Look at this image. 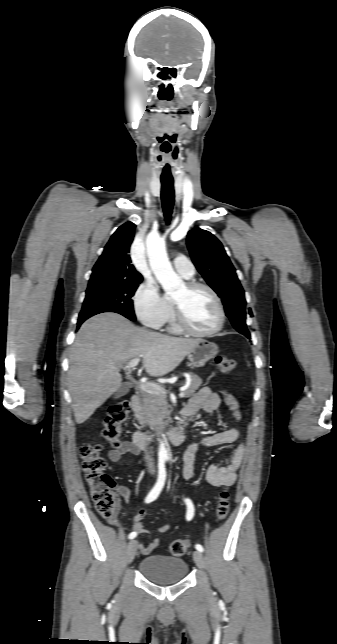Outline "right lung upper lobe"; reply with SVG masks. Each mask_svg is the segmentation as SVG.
<instances>
[{
  "label": "right lung upper lobe",
  "mask_w": 337,
  "mask_h": 644,
  "mask_svg": "<svg viewBox=\"0 0 337 644\" xmlns=\"http://www.w3.org/2000/svg\"><path fill=\"white\" fill-rule=\"evenodd\" d=\"M135 227L132 222H127L111 236L102 255L93 267L89 283L142 281V275L135 270L128 255Z\"/></svg>",
  "instance_id": "1"
}]
</instances>
